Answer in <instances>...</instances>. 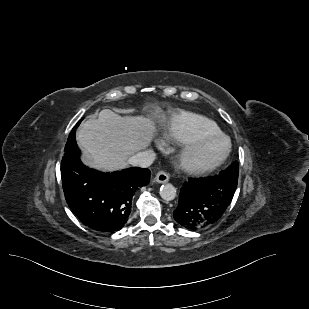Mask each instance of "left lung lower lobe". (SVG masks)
I'll list each match as a JSON object with an SVG mask.
<instances>
[{"label":"left lung lower lobe","instance_id":"left-lung-lower-lobe-1","mask_svg":"<svg viewBox=\"0 0 309 309\" xmlns=\"http://www.w3.org/2000/svg\"><path fill=\"white\" fill-rule=\"evenodd\" d=\"M237 183V178L223 171L207 179H189L181 188L174 219L189 230L213 225L228 208Z\"/></svg>","mask_w":309,"mask_h":309}]
</instances>
